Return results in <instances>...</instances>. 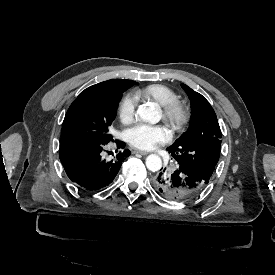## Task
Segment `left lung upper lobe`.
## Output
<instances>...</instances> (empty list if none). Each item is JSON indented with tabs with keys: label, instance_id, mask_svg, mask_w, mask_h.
<instances>
[{
	"label": "left lung upper lobe",
	"instance_id": "obj_1",
	"mask_svg": "<svg viewBox=\"0 0 275 275\" xmlns=\"http://www.w3.org/2000/svg\"><path fill=\"white\" fill-rule=\"evenodd\" d=\"M181 86L191 101L190 125L167 150L179 165L208 181L219 160L221 130L206 98L185 84Z\"/></svg>",
	"mask_w": 275,
	"mask_h": 275
}]
</instances>
